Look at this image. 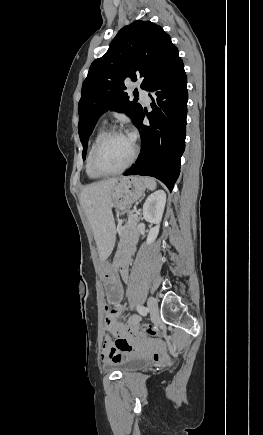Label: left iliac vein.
<instances>
[{
  "instance_id": "left-iliac-vein-1",
  "label": "left iliac vein",
  "mask_w": 263,
  "mask_h": 435,
  "mask_svg": "<svg viewBox=\"0 0 263 435\" xmlns=\"http://www.w3.org/2000/svg\"><path fill=\"white\" fill-rule=\"evenodd\" d=\"M147 304H148V309H149V313L151 316V320L153 322H156L158 320V316H159L157 300L154 297H149Z\"/></svg>"
}]
</instances>
